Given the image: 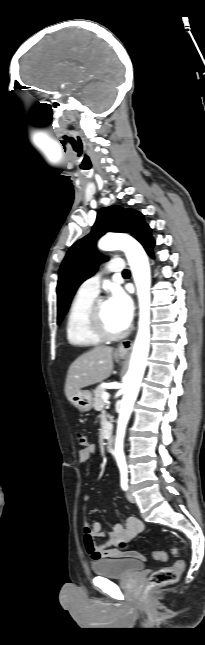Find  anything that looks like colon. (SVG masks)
Listing matches in <instances>:
<instances>
[{"label":"colon","mask_w":205,"mask_h":645,"mask_svg":"<svg viewBox=\"0 0 205 645\" xmlns=\"http://www.w3.org/2000/svg\"><path fill=\"white\" fill-rule=\"evenodd\" d=\"M77 439L80 446L84 448L89 446L88 438L83 432L77 433ZM125 545L126 543H120V548L125 547ZM172 552L177 554V549L173 548ZM152 555L155 559L160 561H165L167 559V555L162 551H155ZM184 568V561L178 560L172 566L164 567L154 572L149 579L150 584L155 587L173 584L179 580Z\"/></svg>","instance_id":"colon-1"}]
</instances>
